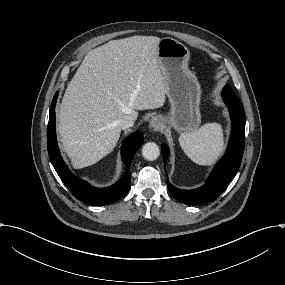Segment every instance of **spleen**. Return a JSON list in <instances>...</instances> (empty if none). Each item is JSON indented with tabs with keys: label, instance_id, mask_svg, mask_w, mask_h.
I'll use <instances>...</instances> for the list:
<instances>
[{
	"label": "spleen",
	"instance_id": "1",
	"mask_svg": "<svg viewBox=\"0 0 285 285\" xmlns=\"http://www.w3.org/2000/svg\"><path fill=\"white\" fill-rule=\"evenodd\" d=\"M184 153L198 165H212L224 150L223 130L218 123H206L199 130L182 133Z\"/></svg>",
	"mask_w": 285,
	"mask_h": 285
}]
</instances>
